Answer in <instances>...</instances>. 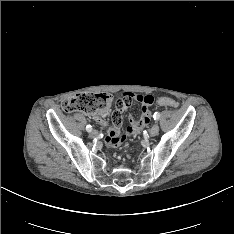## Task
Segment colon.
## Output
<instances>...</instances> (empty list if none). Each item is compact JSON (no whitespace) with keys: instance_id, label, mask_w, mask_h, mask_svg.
Segmentation results:
<instances>
[{"instance_id":"5ec220e1","label":"colon","mask_w":234,"mask_h":234,"mask_svg":"<svg viewBox=\"0 0 234 234\" xmlns=\"http://www.w3.org/2000/svg\"><path fill=\"white\" fill-rule=\"evenodd\" d=\"M147 98L151 99L150 97ZM157 101L168 107H177V103L173 99L167 97L157 98ZM111 105L112 97L109 94L81 93L65 100L62 103V109L66 113L82 112L105 116L110 111Z\"/></svg>"}]
</instances>
